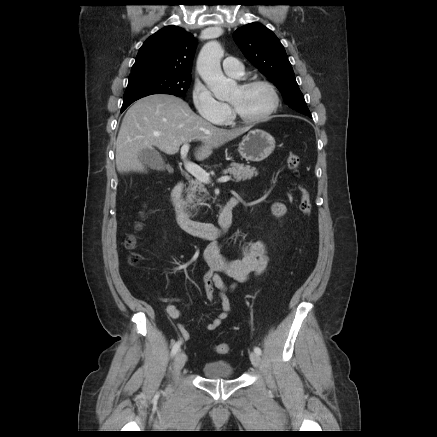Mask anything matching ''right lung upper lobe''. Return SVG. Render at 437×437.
I'll list each match as a JSON object with an SVG mask.
<instances>
[{
    "mask_svg": "<svg viewBox=\"0 0 437 437\" xmlns=\"http://www.w3.org/2000/svg\"><path fill=\"white\" fill-rule=\"evenodd\" d=\"M196 48L193 35L171 25L154 33L141 46L132 71L153 70L171 75H191Z\"/></svg>",
    "mask_w": 437,
    "mask_h": 437,
    "instance_id": "right-lung-upper-lobe-1",
    "label": "right lung upper lobe"
}]
</instances>
